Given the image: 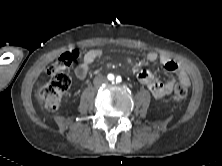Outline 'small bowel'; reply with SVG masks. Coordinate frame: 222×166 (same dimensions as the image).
<instances>
[{
	"mask_svg": "<svg viewBox=\"0 0 222 166\" xmlns=\"http://www.w3.org/2000/svg\"><path fill=\"white\" fill-rule=\"evenodd\" d=\"M102 56L103 52L100 49H91L87 51L84 54L81 63L78 64L74 70L75 76L79 80H84L88 75L89 68L92 63ZM146 59L150 62L159 61L163 65L165 70L177 74L179 82L181 84L187 87L190 85V79L186 71L182 69L177 62L170 59L166 55H159L154 51H150L146 54ZM137 78L142 84L146 85L149 88L152 95L157 99L170 94L176 83L174 79L168 80L166 82H161L152 72L148 70H141L137 74Z\"/></svg>",
	"mask_w": 222,
	"mask_h": 166,
	"instance_id": "c3829d8e",
	"label": "small bowel"
}]
</instances>
